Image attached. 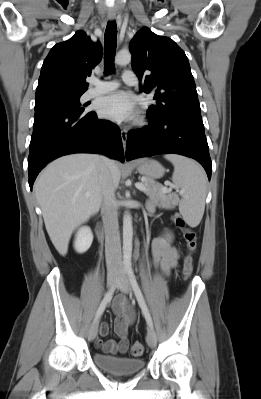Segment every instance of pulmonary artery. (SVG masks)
I'll return each mask as SVG.
<instances>
[{"instance_id":"obj_1","label":"pulmonary artery","mask_w":261,"mask_h":399,"mask_svg":"<svg viewBox=\"0 0 261 399\" xmlns=\"http://www.w3.org/2000/svg\"><path fill=\"white\" fill-rule=\"evenodd\" d=\"M122 81L127 85H133L136 83L135 73L131 70L124 71L122 75ZM119 86L118 81H99L97 79L92 80V86L85 93L87 99L93 98L97 95L105 94L114 91Z\"/></svg>"}]
</instances>
